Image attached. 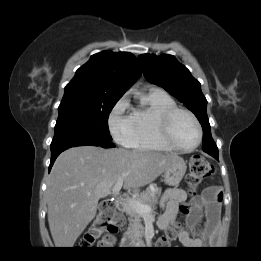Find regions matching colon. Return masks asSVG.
Segmentation results:
<instances>
[{
	"instance_id": "colon-1",
	"label": "colon",
	"mask_w": 261,
	"mask_h": 261,
	"mask_svg": "<svg viewBox=\"0 0 261 261\" xmlns=\"http://www.w3.org/2000/svg\"><path fill=\"white\" fill-rule=\"evenodd\" d=\"M214 171L213 166L205 158L200 155H195L190 161V170L187 175V183L190 188H196L204 179L209 177ZM115 213V205L109 200H103L100 204L99 213L95 219L91 231L87 237L82 241L81 246L88 248L94 244L100 247H108L113 243V237L110 234L102 235ZM175 234L170 232L165 238L159 241L158 245H167L173 240Z\"/></svg>"
}]
</instances>
